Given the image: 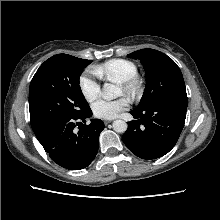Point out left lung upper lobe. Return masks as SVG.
<instances>
[{
	"label": "left lung upper lobe",
	"instance_id": "obj_1",
	"mask_svg": "<svg viewBox=\"0 0 220 220\" xmlns=\"http://www.w3.org/2000/svg\"><path fill=\"white\" fill-rule=\"evenodd\" d=\"M140 59L147 73V84L136 111H143L157 102L179 95H186L180 68L166 54L154 49H141L128 54Z\"/></svg>",
	"mask_w": 220,
	"mask_h": 220
}]
</instances>
